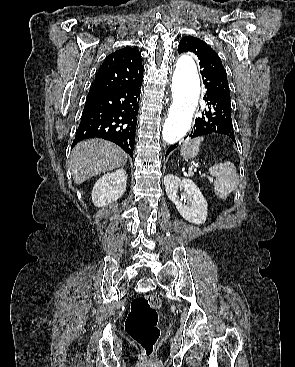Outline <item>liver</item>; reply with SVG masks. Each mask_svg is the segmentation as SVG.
<instances>
[{
  "label": "liver",
  "instance_id": "1",
  "mask_svg": "<svg viewBox=\"0 0 295 367\" xmlns=\"http://www.w3.org/2000/svg\"><path fill=\"white\" fill-rule=\"evenodd\" d=\"M128 155L117 145L100 139L82 141L70 155L69 166L73 180L82 184L87 179L122 167Z\"/></svg>",
  "mask_w": 295,
  "mask_h": 367
}]
</instances>
